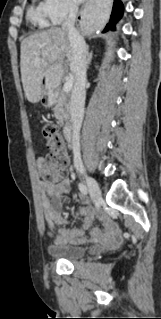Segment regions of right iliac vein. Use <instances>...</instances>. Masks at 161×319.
Wrapping results in <instances>:
<instances>
[{"mask_svg": "<svg viewBox=\"0 0 161 319\" xmlns=\"http://www.w3.org/2000/svg\"><path fill=\"white\" fill-rule=\"evenodd\" d=\"M82 174L84 175V177L86 178L87 181V185L90 191V195L92 200H95L99 194H100V188L98 183L95 181V179H93L92 177L88 176L84 171H82Z\"/></svg>", "mask_w": 161, "mask_h": 319, "instance_id": "63e3f726", "label": "right iliac vein"}]
</instances>
